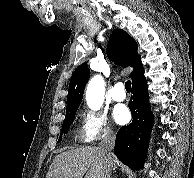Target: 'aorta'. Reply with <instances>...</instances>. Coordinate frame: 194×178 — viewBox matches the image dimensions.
Instances as JSON below:
<instances>
[{"label":"aorta","instance_id":"1","mask_svg":"<svg viewBox=\"0 0 194 178\" xmlns=\"http://www.w3.org/2000/svg\"><path fill=\"white\" fill-rule=\"evenodd\" d=\"M105 86L100 75H95L86 88V102L90 109L99 110L104 102Z\"/></svg>","mask_w":194,"mask_h":178}]
</instances>
